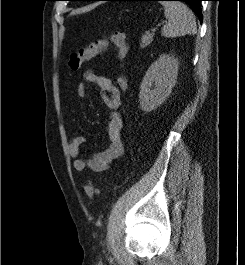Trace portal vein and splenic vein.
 Masks as SVG:
<instances>
[{
  "label": "portal vein and splenic vein",
  "instance_id": "obj_1",
  "mask_svg": "<svg viewBox=\"0 0 245 265\" xmlns=\"http://www.w3.org/2000/svg\"><path fill=\"white\" fill-rule=\"evenodd\" d=\"M158 26H160V25H158ZM156 29H157V28H153V29L151 30L152 33L156 32Z\"/></svg>",
  "mask_w": 245,
  "mask_h": 265
}]
</instances>
